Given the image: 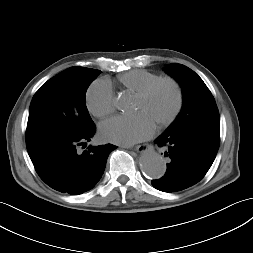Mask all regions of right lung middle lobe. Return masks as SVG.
<instances>
[{"label":"right lung middle lobe","instance_id":"obj_1","mask_svg":"<svg viewBox=\"0 0 253 253\" xmlns=\"http://www.w3.org/2000/svg\"><path fill=\"white\" fill-rule=\"evenodd\" d=\"M100 73L96 69L71 67L48 80L35 93L26 130L29 156L95 127L85 104V94Z\"/></svg>","mask_w":253,"mask_h":253}]
</instances>
